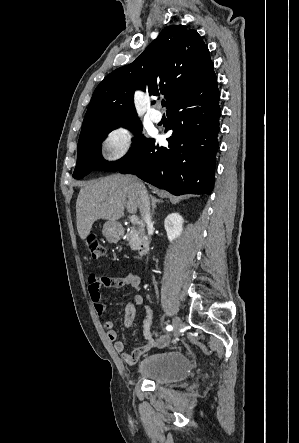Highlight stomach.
Segmentation results:
<instances>
[{
    "instance_id": "0dacf381",
    "label": "stomach",
    "mask_w": 299,
    "mask_h": 443,
    "mask_svg": "<svg viewBox=\"0 0 299 443\" xmlns=\"http://www.w3.org/2000/svg\"><path fill=\"white\" fill-rule=\"evenodd\" d=\"M118 230L119 225L117 222L108 221L103 225L102 233L109 242L115 243L119 238Z\"/></svg>"
}]
</instances>
